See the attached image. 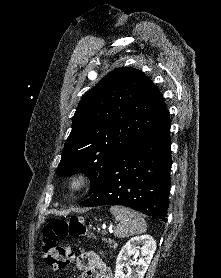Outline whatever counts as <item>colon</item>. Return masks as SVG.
Wrapping results in <instances>:
<instances>
[{
	"label": "colon",
	"mask_w": 221,
	"mask_h": 278,
	"mask_svg": "<svg viewBox=\"0 0 221 278\" xmlns=\"http://www.w3.org/2000/svg\"><path fill=\"white\" fill-rule=\"evenodd\" d=\"M67 237H92L80 217L69 219L52 218L42 229L41 246L44 261L56 270L67 268L73 257V251L60 243Z\"/></svg>",
	"instance_id": "1"
}]
</instances>
